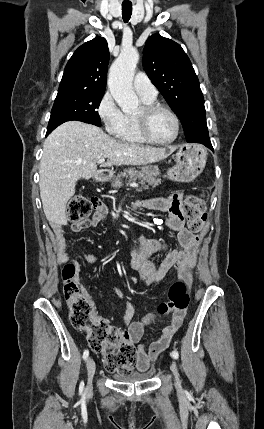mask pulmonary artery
I'll use <instances>...</instances> for the list:
<instances>
[{
	"mask_svg": "<svg viewBox=\"0 0 264 429\" xmlns=\"http://www.w3.org/2000/svg\"><path fill=\"white\" fill-rule=\"evenodd\" d=\"M133 88L140 97L145 99L154 100L157 96L155 86L143 72L136 74L133 80Z\"/></svg>",
	"mask_w": 264,
	"mask_h": 429,
	"instance_id": "pulmonary-artery-1",
	"label": "pulmonary artery"
}]
</instances>
